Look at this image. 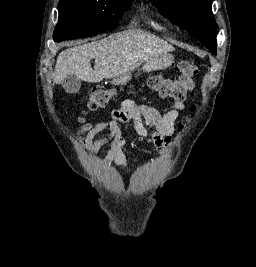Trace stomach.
Instances as JSON below:
<instances>
[{
    "mask_svg": "<svg viewBox=\"0 0 256 267\" xmlns=\"http://www.w3.org/2000/svg\"><path fill=\"white\" fill-rule=\"evenodd\" d=\"M174 62V56L172 54H162L161 58H158L156 62H144V67H155L156 70H165L168 66H171Z\"/></svg>",
    "mask_w": 256,
    "mask_h": 267,
    "instance_id": "stomach-1",
    "label": "stomach"
}]
</instances>
